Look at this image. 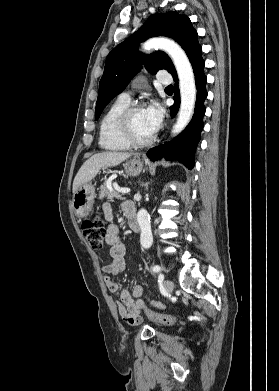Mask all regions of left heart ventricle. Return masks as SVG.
I'll return each mask as SVG.
<instances>
[{
  "mask_svg": "<svg viewBox=\"0 0 279 391\" xmlns=\"http://www.w3.org/2000/svg\"><path fill=\"white\" fill-rule=\"evenodd\" d=\"M132 130L138 139H146L151 136L156 129H154L149 120L146 109L137 110L132 116Z\"/></svg>",
  "mask_w": 279,
  "mask_h": 391,
  "instance_id": "left-heart-ventricle-1",
  "label": "left heart ventricle"
}]
</instances>
